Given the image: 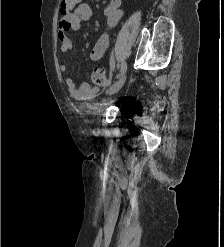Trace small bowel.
Here are the masks:
<instances>
[{
	"mask_svg": "<svg viewBox=\"0 0 224 247\" xmlns=\"http://www.w3.org/2000/svg\"><path fill=\"white\" fill-rule=\"evenodd\" d=\"M92 15V8L88 4L82 3L79 4L72 13L60 21L58 40L60 42V49L62 52L65 53L70 51L73 46L67 33L69 31L78 30L82 23L91 19ZM104 15L107 19V31L103 32L92 46L89 53V58L92 61H98L103 57L109 44L108 30L115 27L124 15V10L121 7V0H110L104 9ZM68 69L69 67L67 64L64 63L60 65V70L62 72H67ZM65 84L71 96L78 100H88L95 96L99 90L98 87H91L87 83H83L77 87L71 77L65 78Z\"/></svg>",
	"mask_w": 224,
	"mask_h": 247,
	"instance_id": "small-bowel-1",
	"label": "small bowel"
}]
</instances>
